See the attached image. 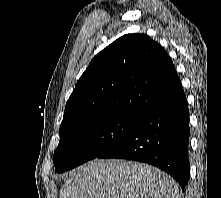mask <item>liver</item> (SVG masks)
I'll return each instance as SVG.
<instances>
[{
  "label": "liver",
  "mask_w": 221,
  "mask_h": 198,
  "mask_svg": "<svg viewBox=\"0 0 221 198\" xmlns=\"http://www.w3.org/2000/svg\"><path fill=\"white\" fill-rule=\"evenodd\" d=\"M60 198H181L177 182L160 169L119 159H94L64 182Z\"/></svg>",
  "instance_id": "6515ba94"
}]
</instances>
